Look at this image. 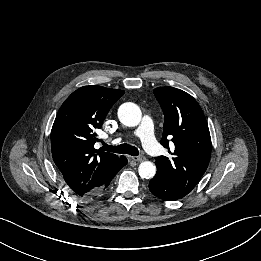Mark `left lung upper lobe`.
<instances>
[{"mask_svg": "<svg viewBox=\"0 0 261 261\" xmlns=\"http://www.w3.org/2000/svg\"><path fill=\"white\" fill-rule=\"evenodd\" d=\"M164 113L161 144L172 158L156 159L157 173L177 191L187 195L206 171L211 155V137L204 113L188 93L173 87L154 89ZM174 144L170 151L169 140Z\"/></svg>", "mask_w": 261, "mask_h": 261, "instance_id": "obj_1", "label": "left lung upper lobe"}]
</instances>
